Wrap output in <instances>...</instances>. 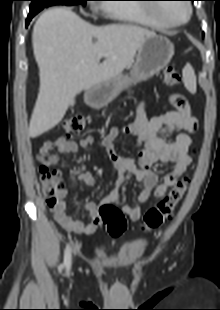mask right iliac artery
Listing matches in <instances>:
<instances>
[{"mask_svg": "<svg viewBox=\"0 0 220 310\" xmlns=\"http://www.w3.org/2000/svg\"><path fill=\"white\" fill-rule=\"evenodd\" d=\"M64 266L66 267V270L69 271L71 267V248L68 246L64 253Z\"/></svg>", "mask_w": 220, "mask_h": 310, "instance_id": "1", "label": "right iliac artery"}]
</instances>
